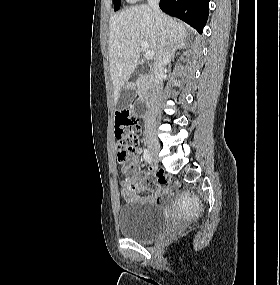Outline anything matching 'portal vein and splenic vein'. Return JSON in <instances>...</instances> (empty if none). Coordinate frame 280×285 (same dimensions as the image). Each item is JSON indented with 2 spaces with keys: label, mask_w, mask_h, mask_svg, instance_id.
<instances>
[{
  "label": "portal vein and splenic vein",
  "mask_w": 280,
  "mask_h": 285,
  "mask_svg": "<svg viewBox=\"0 0 280 285\" xmlns=\"http://www.w3.org/2000/svg\"><path fill=\"white\" fill-rule=\"evenodd\" d=\"M141 47L144 50V56L146 59L151 60L153 59L154 53L148 50V43L146 41L141 42Z\"/></svg>",
  "instance_id": "portal-vein-and-splenic-vein-1"
}]
</instances>
